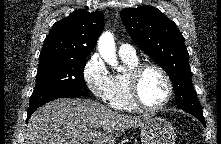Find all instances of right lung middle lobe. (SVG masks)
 Instances as JSON below:
<instances>
[{
    "label": "right lung middle lobe",
    "instance_id": "dd1d6c3e",
    "mask_svg": "<svg viewBox=\"0 0 221 144\" xmlns=\"http://www.w3.org/2000/svg\"><path fill=\"white\" fill-rule=\"evenodd\" d=\"M85 59L39 58L36 85L28 110L36 109L52 98L63 94L88 96L83 71Z\"/></svg>",
    "mask_w": 221,
    "mask_h": 144
}]
</instances>
